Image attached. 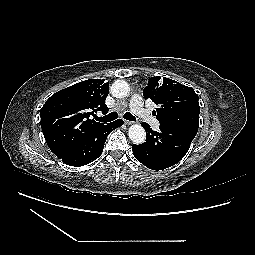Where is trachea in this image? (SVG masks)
<instances>
[{
  "label": "trachea",
  "instance_id": "trachea-1",
  "mask_svg": "<svg viewBox=\"0 0 255 255\" xmlns=\"http://www.w3.org/2000/svg\"><path fill=\"white\" fill-rule=\"evenodd\" d=\"M118 117V114L116 112L109 113L108 115L104 117H95V119L99 122L107 123L114 121ZM124 118L129 121H136L135 116H133L130 112H126L124 114Z\"/></svg>",
  "mask_w": 255,
  "mask_h": 255
}]
</instances>
